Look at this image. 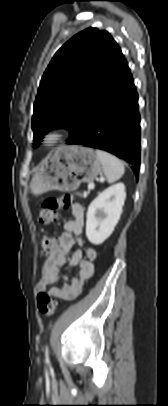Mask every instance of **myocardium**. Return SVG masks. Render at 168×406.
Listing matches in <instances>:
<instances>
[{
	"label": "myocardium",
	"instance_id": "f54148a6",
	"mask_svg": "<svg viewBox=\"0 0 168 406\" xmlns=\"http://www.w3.org/2000/svg\"><path fill=\"white\" fill-rule=\"evenodd\" d=\"M64 133L60 129H51L43 137V143L47 147H54L63 139Z\"/></svg>",
	"mask_w": 168,
	"mask_h": 406
}]
</instances>
